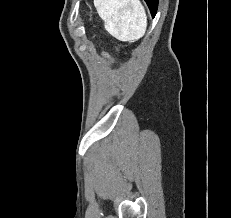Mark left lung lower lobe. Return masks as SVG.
<instances>
[{
	"label": "left lung lower lobe",
	"instance_id": "1",
	"mask_svg": "<svg viewBox=\"0 0 231 218\" xmlns=\"http://www.w3.org/2000/svg\"><path fill=\"white\" fill-rule=\"evenodd\" d=\"M145 1L150 9L152 16L154 17L158 7V0H145Z\"/></svg>",
	"mask_w": 231,
	"mask_h": 218
}]
</instances>
